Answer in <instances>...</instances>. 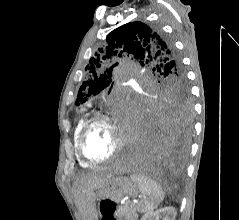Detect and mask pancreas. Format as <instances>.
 <instances>
[{
	"label": "pancreas",
	"instance_id": "pancreas-1",
	"mask_svg": "<svg viewBox=\"0 0 239 220\" xmlns=\"http://www.w3.org/2000/svg\"><path fill=\"white\" fill-rule=\"evenodd\" d=\"M116 216L124 220H137V207L134 204L126 203L119 206L116 210Z\"/></svg>",
	"mask_w": 239,
	"mask_h": 220
}]
</instances>
